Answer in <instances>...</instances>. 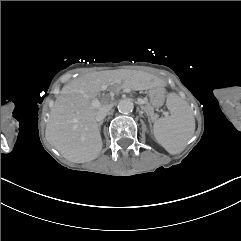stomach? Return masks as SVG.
Listing matches in <instances>:
<instances>
[{
  "label": "stomach",
  "mask_w": 241,
  "mask_h": 241,
  "mask_svg": "<svg viewBox=\"0 0 241 241\" xmlns=\"http://www.w3.org/2000/svg\"><path fill=\"white\" fill-rule=\"evenodd\" d=\"M149 100L153 107H161L165 101V90L162 87L154 88L149 91Z\"/></svg>",
  "instance_id": "stomach-1"
}]
</instances>
